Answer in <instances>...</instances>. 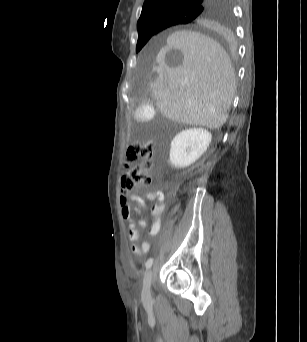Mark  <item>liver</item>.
<instances>
[{"instance_id": "liver-1", "label": "liver", "mask_w": 307, "mask_h": 342, "mask_svg": "<svg viewBox=\"0 0 307 342\" xmlns=\"http://www.w3.org/2000/svg\"><path fill=\"white\" fill-rule=\"evenodd\" d=\"M151 74L162 116L209 130L222 128L233 102L234 70L222 46L199 32L181 30L160 44Z\"/></svg>"}]
</instances>
